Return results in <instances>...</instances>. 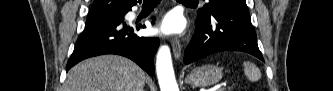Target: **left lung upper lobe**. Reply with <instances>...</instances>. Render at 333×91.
<instances>
[{"instance_id": "5c2ea615", "label": "left lung upper lobe", "mask_w": 333, "mask_h": 91, "mask_svg": "<svg viewBox=\"0 0 333 91\" xmlns=\"http://www.w3.org/2000/svg\"><path fill=\"white\" fill-rule=\"evenodd\" d=\"M230 3H246V0H209L202 9L197 11L198 16L209 14L210 11L217 5Z\"/></svg>"}]
</instances>
